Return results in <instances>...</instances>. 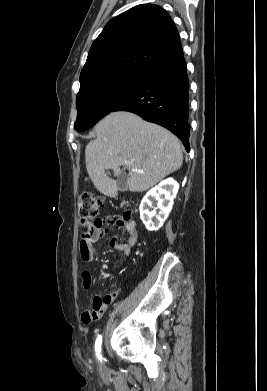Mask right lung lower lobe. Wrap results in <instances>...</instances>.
Instances as JSON below:
<instances>
[{"instance_id":"98d812e1","label":"right lung lower lobe","mask_w":267,"mask_h":391,"mask_svg":"<svg viewBox=\"0 0 267 391\" xmlns=\"http://www.w3.org/2000/svg\"><path fill=\"white\" fill-rule=\"evenodd\" d=\"M115 111H129L167 128L189 152V82L183 54L150 70L143 84L111 112Z\"/></svg>"}]
</instances>
